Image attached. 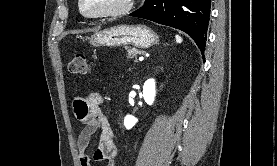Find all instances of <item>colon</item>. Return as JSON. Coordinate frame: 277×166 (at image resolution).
<instances>
[{"instance_id": "obj_1", "label": "colon", "mask_w": 277, "mask_h": 166, "mask_svg": "<svg viewBox=\"0 0 277 166\" xmlns=\"http://www.w3.org/2000/svg\"><path fill=\"white\" fill-rule=\"evenodd\" d=\"M69 70L73 74H86L88 70L87 59L84 54H76L69 63Z\"/></svg>"}]
</instances>
